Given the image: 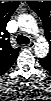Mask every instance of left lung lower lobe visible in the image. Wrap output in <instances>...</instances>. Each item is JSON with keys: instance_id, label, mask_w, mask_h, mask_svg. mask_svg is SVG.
Masks as SVG:
<instances>
[{"instance_id": "0a47b994", "label": "left lung lower lobe", "mask_w": 51, "mask_h": 101, "mask_svg": "<svg viewBox=\"0 0 51 101\" xmlns=\"http://www.w3.org/2000/svg\"><path fill=\"white\" fill-rule=\"evenodd\" d=\"M41 65L46 69V70H50L51 68V63L48 61V59H39Z\"/></svg>"}]
</instances>
